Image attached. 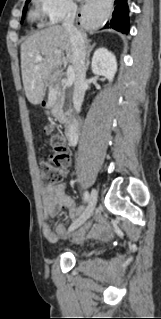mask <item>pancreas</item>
<instances>
[{"label":"pancreas","instance_id":"obj_1","mask_svg":"<svg viewBox=\"0 0 161 319\" xmlns=\"http://www.w3.org/2000/svg\"><path fill=\"white\" fill-rule=\"evenodd\" d=\"M64 101H65V92L62 91L61 93H59L58 99L56 103L53 105L51 110L55 119L62 124L66 123L68 120L66 114L63 112Z\"/></svg>","mask_w":161,"mask_h":319}]
</instances>
